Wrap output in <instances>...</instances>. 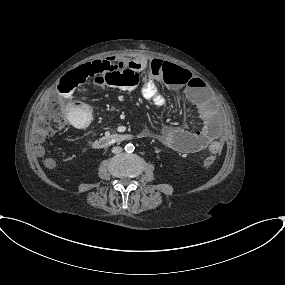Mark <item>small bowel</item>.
<instances>
[{
    "label": "small bowel",
    "mask_w": 285,
    "mask_h": 285,
    "mask_svg": "<svg viewBox=\"0 0 285 285\" xmlns=\"http://www.w3.org/2000/svg\"><path fill=\"white\" fill-rule=\"evenodd\" d=\"M112 61V59L110 60ZM124 66L136 70H143L146 74V80L142 86V95L148 101L157 106L168 104L167 97L161 95L155 87V80L163 75L164 62L160 59H137L124 60ZM166 83L170 90H182L186 98L190 101L195 118L199 122V128L194 131L166 126L158 131L155 136L163 145L184 153H195L205 149L212 144L222 145L220 132L212 125L208 118V113L201 99V87L199 78L188 72L185 77L169 76L166 77ZM66 114L68 121L73 127H80L83 120L90 119L89 106L81 100H72L67 103Z\"/></svg>",
    "instance_id": "obj_1"
}]
</instances>
